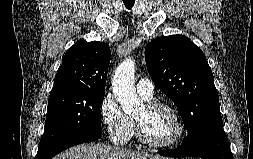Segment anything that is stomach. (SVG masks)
Segmentation results:
<instances>
[{"label": "stomach", "instance_id": "obj_1", "mask_svg": "<svg viewBox=\"0 0 253 159\" xmlns=\"http://www.w3.org/2000/svg\"><path fill=\"white\" fill-rule=\"evenodd\" d=\"M147 159H162V158H158V157H151V158H147Z\"/></svg>", "mask_w": 253, "mask_h": 159}]
</instances>
